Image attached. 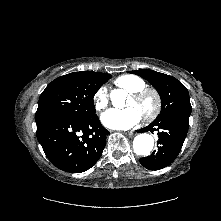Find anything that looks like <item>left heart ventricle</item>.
Instances as JSON below:
<instances>
[{"label":"left heart ventricle","mask_w":221,"mask_h":221,"mask_svg":"<svg viewBox=\"0 0 221 221\" xmlns=\"http://www.w3.org/2000/svg\"><path fill=\"white\" fill-rule=\"evenodd\" d=\"M127 107H135L143 116L149 112L153 107V99L150 96L145 97L142 101L136 102L132 97L129 98Z\"/></svg>","instance_id":"1"}]
</instances>
